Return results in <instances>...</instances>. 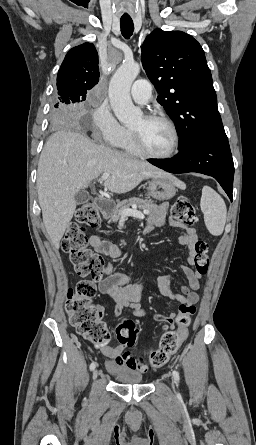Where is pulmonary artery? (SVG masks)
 Segmentation results:
<instances>
[{
    "label": "pulmonary artery",
    "instance_id": "1",
    "mask_svg": "<svg viewBox=\"0 0 256 445\" xmlns=\"http://www.w3.org/2000/svg\"><path fill=\"white\" fill-rule=\"evenodd\" d=\"M151 84L145 79L135 81L131 87V97L134 102L146 105L151 99Z\"/></svg>",
    "mask_w": 256,
    "mask_h": 445
}]
</instances>
